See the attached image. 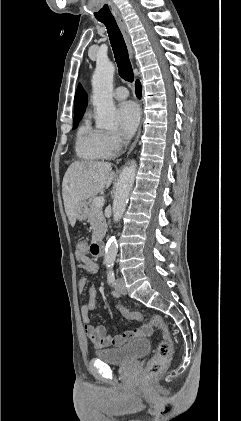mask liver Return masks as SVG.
Returning a JSON list of instances; mask_svg holds the SVG:
<instances>
[{"label": "liver", "instance_id": "liver-1", "mask_svg": "<svg viewBox=\"0 0 241 421\" xmlns=\"http://www.w3.org/2000/svg\"><path fill=\"white\" fill-rule=\"evenodd\" d=\"M114 178L112 165L99 161H76L67 169L62 183L66 215L72 227L80 204L109 188Z\"/></svg>", "mask_w": 241, "mask_h": 421}]
</instances>
